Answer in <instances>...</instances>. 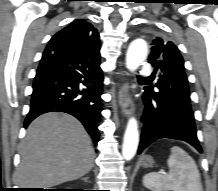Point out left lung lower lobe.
Instances as JSON below:
<instances>
[{
	"mask_svg": "<svg viewBox=\"0 0 218 191\" xmlns=\"http://www.w3.org/2000/svg\"><path fill=\"white\" fill-rule=\"evenodd\" d=\"M143 100L144 124L138 154L151 142L164 137L184 140L202 152L189 102L179 97L168 98L153 87L145 88Z\"/></svg>",
	"mask_w": 218,
	"mask_h": 191,
	"instance_id": "0a47b994",
	"label": "left lung lower lobe"
}]
</instances>
